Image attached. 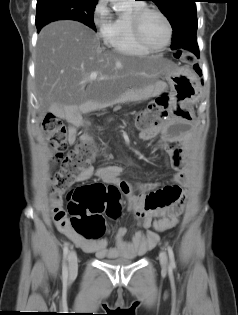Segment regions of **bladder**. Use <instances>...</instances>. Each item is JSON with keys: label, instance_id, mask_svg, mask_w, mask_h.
Segmentation results:
<instances>
[{"label": "bladder", "instance_id": "bladder-1", "mask_svg": "<svg viewBox=\"0 0 238 315\" xmlns=\"http://www.w3.org/2000/svg\"><path fill=\"white\" fill-rule=\"evenodd\" d=\"M135 261L134 258H127V259H122V260H110V259H105V262L111 265H116V266H122V265H127L131 264Z\"/></svg>", "mask_w": 238, "mask_h": 315}]
</instances>
